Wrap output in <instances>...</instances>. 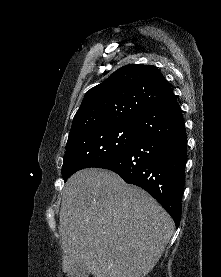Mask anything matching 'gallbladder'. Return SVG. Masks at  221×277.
<instances>
[{"instance_id": "1", "label": "gallbladder", "mask_w": 221, "mask_h": 277, "mask_svg": "<svg viewBox=\"0 0 221 277\" xmlns=\"http://www.w3.org/2000/svg\"><path fill=\"white\" fill-rule=\"evenodd\" d=\"M68 277H89L90 270L87 265L77 263L73 265L67 272Z\"/></svg>"}]
</instances>
